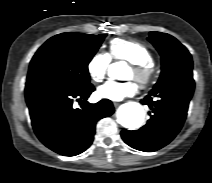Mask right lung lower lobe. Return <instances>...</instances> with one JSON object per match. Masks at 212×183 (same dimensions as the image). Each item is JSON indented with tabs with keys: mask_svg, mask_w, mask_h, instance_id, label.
<instances>
[{
	"mask_svg": "<svg viewBox=\"0 0 212 183\" xmlns=\"http://www.w3.org/2000/svg\"><path fill=\"white\" fill-rule=\"evenodd\" d=\"M92 84L67 86L50 82H26L25 97L33 129L48 148L64 156L84 152L93 142L98 120L114 113L112 102L86 100ZM77 101L81 108H75Z\"/></svg>",
	"mask_w": 212,
	"mask_h": 183,
	"instance_id": "obj_1",
	"label": "right lung lower lobe"
}]
</instances>
